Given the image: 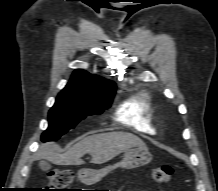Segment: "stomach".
Wrapping results in <instances>:
<instances>
[{
    "label": "stomach",
    "mask_w": 218,
    "mask_h": 191,
    "mask_svg": "<svg viewBox=\"0 0 218 191\" xmlns=\"http://www.w3.org/2000/svg\"><path fill=\"white\" fill-rule=\"evenodd\" d=\"M152 159L148 150L143 149H130L125 152L123 160L113 166L106 168L92 170L82 169L78 172V178L85 184H95L105 177L112 169L121 168H137L148 164Z\"/></svg>",
    "instance_id": "obj_1"
}]
</instances>
